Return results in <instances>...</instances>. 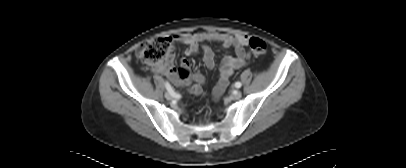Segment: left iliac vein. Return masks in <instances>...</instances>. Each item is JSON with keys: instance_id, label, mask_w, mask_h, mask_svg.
Here are the masks:
<instances>
[{"instance_id": "left-iliac-vein-1", "label": "left iliac vein", "mask_w": 406, "mask_h": 168, "mask_svg": "<svg viewBox=\"0 0 406 168\" xmlns=\"http://www.w3.org/2000/svg\"><path fill=\"white\" fill-rule=\"evenodd\" d=\"M241 96H242L241 91L237 90V91L233 92V94L231 95V99L238 100L241 98Z\"/></svg>"}]
</instances>
